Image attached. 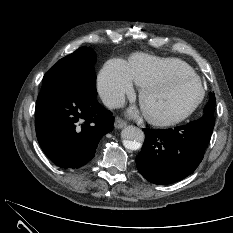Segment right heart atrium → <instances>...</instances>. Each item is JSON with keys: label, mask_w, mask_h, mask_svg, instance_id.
I'll list each match as a JSON object with an SVG mask.
<instances>
[{"label": "right heart atrium", "mask_w": 233, "mask_h": 233, "mask_svg": "<svg viewBox=\"0 0 233 233\" xmlns=\"http://www.w3.org/2000/svg\"><path fill=\"white\" fill-rule=\"evenodd\" d=\"M96 91L108 108L121 106L134 93L133 81L127 64L121 59L109 60L96 78Z\"/></svg>", "instance_id": "d8ad5b80"}]
</instances>
